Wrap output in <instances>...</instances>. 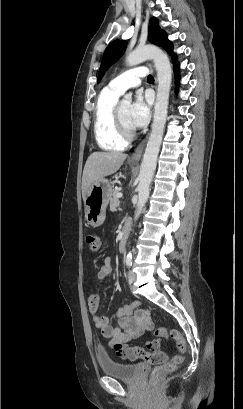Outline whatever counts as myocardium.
Masks as SVG:
<instances>
[{
	"label": "myocardium",
	"instance_id": "f54148a6",
	"mask_svg": "<svg viewBox=\"0 0 243 409\" xmlns=\"http://www.w3.org/2000/svg\"><path fill=\"white\" fill-rule=\"evenodd\" d=\"M114 124L118 135L125 141H131L135 137L133 128L127 127L120 117V104H117L114 109Z\"/></svg>",
	"mask_w": 243,
	"mask_h": 409
}]
</instances>
